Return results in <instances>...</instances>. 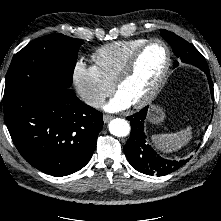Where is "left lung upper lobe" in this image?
Masks as SVG:
<instances>
[{
  "mask_svg": "<svg viewBox=\"0 0 221 221\" xmlns=\"http://www.w3.org/2000/svg\"><path fill=\"white\" fill-rule=\"evenodd\" d=\"M160 32L161 36L171 45L174 54L182 62L192 64L204 72L209 71L205 58L192 44H189L173 32L164 29H161ZM178 64V61H175L174 67Z\"/></svg>",
  "mask_w": 221,
  "mask_h": 221,
  "instance_id": "1",
  "label": "left lung upper lobe"
}]
</instances>
